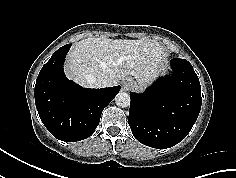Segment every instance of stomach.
<instances>
[{"label":"stomach","instance_id":"1","mask_svg":"<svg viewBox=\"0 0 236 178\" xmlns=\"http://www.w3.org/2000/svg\"><path fill=\"white\" fill-rule=\"evenodd\" d=\"M136 81H137V80H136ZM137 82H138V81H137ZM137 82H133V84H132V87H133L134 89H138V88H139ZM138 83H139V82H138Z\"/></svg>","mask_w":236,"mask_h":178}]
</instances>
